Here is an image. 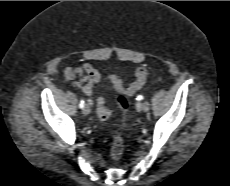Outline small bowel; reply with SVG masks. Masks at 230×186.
<instances>
[{"mask_svg":"<svg viewBox=\"0 0 230 186\" xmlns=\"http://www.w3.org/2000/svg\"><path fill=\"white\" fill-rule=\"evenodd\" d=\"M63 73L66 81L80 89L86 96H92L94 85L101 81L99 70L90 63H83L78 68L67 66L64 68ZM119 81L120 84L118 86L113 85L115 90H127L129 86L125 87L120 78Z\"/></svg>","mask_w":230,"mask_h":186,"instance_id":"obj_1","label":"small bowel"}]
</instances>
